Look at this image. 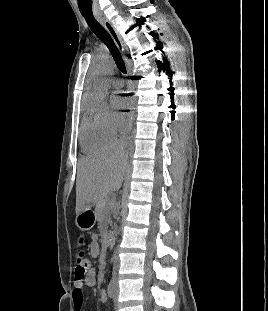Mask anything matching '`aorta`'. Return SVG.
I'll return each instance as SVG.
<instances>
[{"instance_id": "762f6f07", "label": "aorta", "mask_w": 268, "mask_h": 311, "mask_svg": "<svg viewBox=\"0 0 268 311\" xmlns=\"http://www.w3.org/2000/svg\"><path fill=\"white\" fill-rule=\"evenodd\" d=\"M94 69L97 74V79L94 83V91L99 95H104L108 91L106 76L114 70V65L111 61L105 60L98 62Z\"/></svg>"}]
</instances>
